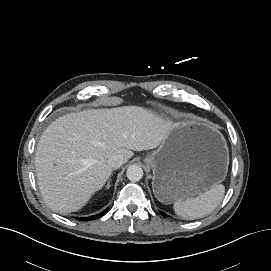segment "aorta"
<instances>
[{
	"label": "aorta",
	"mask_w": 271,
	"mask_h": 271,
	"mask_svg": "<svg viewBox=\"0 0 271 271\" xmlns=\"http://www.w3.org/2000/svg\"><path fill=\"white\" fill-rule=\"evenodd\" d=\"M143 174V169L137 164L130 165L126 171L127 178L133 182L141 180Z\"/></svg>",
	"instance_id": "aorta-1"
}]
</instances>
